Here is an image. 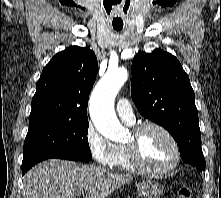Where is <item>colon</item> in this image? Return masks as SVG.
I'll use <instances>...</instances> for the list:
<instances>
[{"mask_svg":"<svg viewBox=\"0 0 221 198\" xmlns=\"http://www.w3.org/2000/svg\"><path fill=\"white\" fill-rule=\"evenodd\" d=\"M177 198H192V189L183 187L178 191Z\"/></svg>","mask_w":221,"mask_h":198,"instance_id":"1","label":"colon"}]
</instances>
